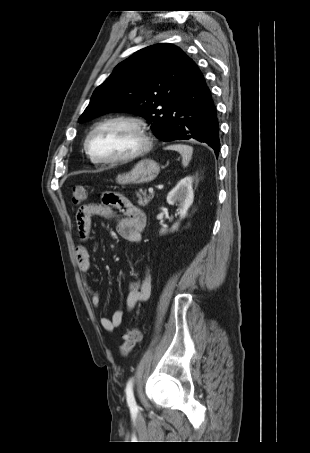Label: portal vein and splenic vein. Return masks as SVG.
I'll list each match as a JSON object with an SVG mask.
<instances>
[{
  "instance_id": "portal-vein-and-splenic-vein-1",
  "label": "portal vein and splenic vein",
  "mask_w": 310,
  "mask_h": 453,
  "mask_svg": "<svg viewBox=\"0 0 310 453\" xmlns=\"http://www.w3.org/2000/svg\"><path fill=\"white\" fill-rule=\"evenodd\" d=\"M148 191H149V193L152 194V193L154 192V189H153L152 187H150V188L148 189Z\"/></svg>"
}]
</instances>
